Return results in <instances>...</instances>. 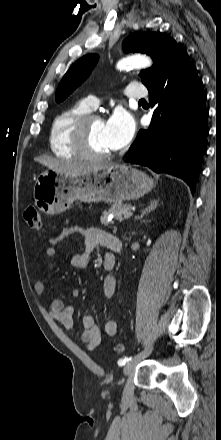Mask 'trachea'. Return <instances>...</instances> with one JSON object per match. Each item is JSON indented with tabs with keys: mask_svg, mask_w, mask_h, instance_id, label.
I'll list each match as a JSON object with an SVG mask.
<instances>
[{
	"mask_svg": "<svg viewBox=\"0 0 221 440\" xmlns=\"http://www.w3.org/2000/svg\"><path fill=\"white\" fill-rule=\"evenodd\" d=\"M139 102H145V100H144V99H142V100H139Z\"/></svg>",
	"mask_w": 221,
	"mask_h": 440,
	"instance_id": "obj_1",
	"label": "trachea"
}]
</instances>
